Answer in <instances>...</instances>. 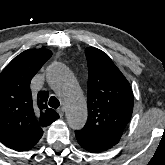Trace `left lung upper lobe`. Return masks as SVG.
Here are the masks:
<instances>
[{"mask_svg": "<svg viewBox=\"0 0 165 165\" xmlns=\"http://www.w3.org/2000/svg\"><path fill=\"white\" fill-rule=\"evenodd\" d=\"M88 120L82 131L110 146L116 145L133 111L129 82L103 51L88 47Z\"/></svg>", "mask_w": 165, "mask_h": 165, "instance_id": "obj_1", "label": "left lung upper lobe"}]
</instances>
